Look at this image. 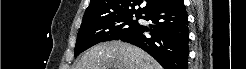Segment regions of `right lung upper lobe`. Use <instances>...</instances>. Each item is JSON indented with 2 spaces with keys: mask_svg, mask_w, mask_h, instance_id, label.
I'll list each match as a JSON object with an SVG mask.
<instances>
[{
  "mask_svg": "<svg viewBox=\"0 0 246 69\" xmlns=\"http://www.w3.org/2000/svg\"><path fill=\"white\" fill-rule=\"evenodd\" d=\"M165 0H91L85 11L83 21H92L121 14H142L147 8L163 3ZM143 7L135 9L136 5Z\"/></svg>",
  "mask_w": 246,
  "mask_h": 69,
  "instance_id": "cb5924a9",
  "label": "right lung upper lobe"
}]
</instances>
